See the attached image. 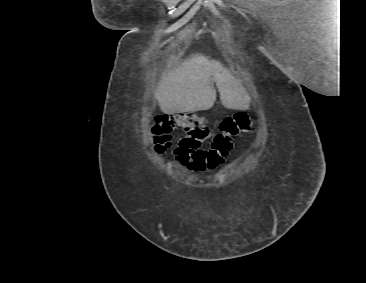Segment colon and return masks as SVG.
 <instances>
[{
  "instance_id": "5ec220e1",
  "label": "colon",
  "mask_w": 366,
  "mask_h": 283,
  "mask_svg": "<svg viewBox=\"0 0 366 283\" xmlns=\"http://www.w3.org/2000/svg\"><path fill=\"white\" fill-rule=\"evenodd\" d=\"M152 120L155 134H167L175 129L184 130L174 147V155L182 164L194 170H205L214 166L219 149L224 146L233 147L237 136L254 129V122L246 113L238 112L225 117L219 125L218 133L212 137L210 148L202 150V142L211 135L202 117L192 113H172L156 115ZM226 153V150L221 151L223 155Z\"/></svg>"
}]
</instances>
